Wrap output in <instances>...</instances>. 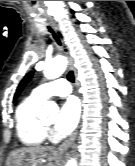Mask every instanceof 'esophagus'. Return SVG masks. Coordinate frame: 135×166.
<instances>
[{
	"instance_id": "obj_1",
	"label": "esophagus",
	"mask_w": 135,
	"mask_h": 166,
	"mask_svg": "<svg viewBox=\"0 0 135 166\" xmlns=\"http://www.w3.org/2000/svg\"><path fill=\"white\" fill-rule=\"evenodd\" d=\"M52 27H53L55 33L57 34V36H58V38H59V40L62 44L63 52H64V54L67 58V61H68V67H69V69L74 71L76 82L78 83V81H77V72H76L75 67H74V61H73V58L70 56L68 46L64 42L63 34H62V32H61V30H60V28L57 24L52 23ZM76 135H77V131L74 132L62 145L59 146L58 151L59 152L65 151L74 142V140L76 138Z\"/></svg>"
}]
</instances>
